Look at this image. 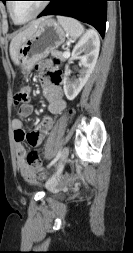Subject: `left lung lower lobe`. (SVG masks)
Returning a JSON list of instances; mask_svg holds the SVG:
<instances>
[{"label": "left lung lower lobe", "instance_id": "1", "mask_svg": "<svg viewBox=\"0 0 133 253\" xmlns=\"http://www.w3.org/2000/svg\"><path fill=\"white\" fill-rule=\"evenodd\" d=\"M49 5L38 16L64 15L76 18L95 27L102 37L105 34L107 1L109 0H48Z\"/></svg>", "mask_w": 133, "mask_h": 253}]
</instances>
